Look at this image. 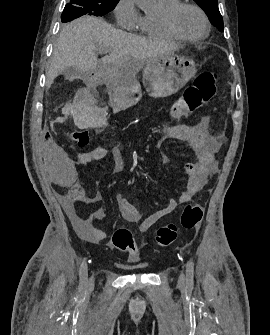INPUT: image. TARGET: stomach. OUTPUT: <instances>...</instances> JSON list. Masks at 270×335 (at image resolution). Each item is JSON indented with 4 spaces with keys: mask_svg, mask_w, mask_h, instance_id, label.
Instances as JSON below:
<instances>
[{
    "mask_svg": "<svg viewBox=\"0 0 270 335\" xmlns=\"http://www.w3.org/2000/svg\"><path fill=\"white\" fill-rule=\"evenodd\" d=\"M196 64L188 56L164 54L148 60L143 72V86L151 98H168L181 90L196 74ZM120 94L122 106L130 108L140 102L142 90L139 82H124L122 80Z\"/></svg>",
    "mask_w": 270,
    "mask_h": 335,
    "instance_id": "stomach-1",
    "label": "stomach"
}]
</instances>
